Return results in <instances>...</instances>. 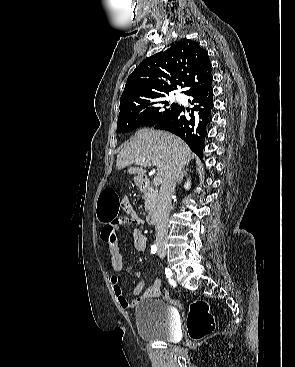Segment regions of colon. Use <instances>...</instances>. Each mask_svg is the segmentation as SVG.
I'll list each match as a JSON object with an SVG mask.
<instances>
[{
	"label": "colon",
	"instance_id": "5ec220e1",
	"mask_svg": "<svg viewBox=\"0 0 295 367\" xmlns=\"http://www.w3.org/2000/svg\"><path fill=\"white\" fill-rule=\"evenodd\" d=\"M118 195L111 187H106L100 195L98 218L101 223L116 220L118 211L122 207ZM187 329L191 339L201 340L211 334L215 329L214 317L209 305L203 300H197L190 305L187 315Z\"/></svg>",
	"mask_w": 295,
	"mask_h": 367
}]
</instances>
